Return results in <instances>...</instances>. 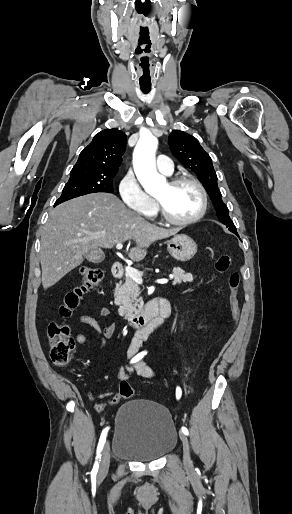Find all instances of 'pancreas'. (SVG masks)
<instances>
[{
  "mask_svg": "<svg viewBox=\"0 0 292 514\" xmlns=\"http://www.w3.org/2000/svg\"><path fill=\"white\" fill-rule=\"evenodd\" d=\"M141 276L143 272H140ZM174 282L176 284H182V282H193L192 274H185L181 268H174L173 270ZM115 304L119 306V316H123L125 320L133 318L135 314H138L140 310H137L138 304L142 306V298H140V288L138 282L132 280L130 276H126L125 284L121 286L119 292L115 294Z\"/></svg>",
  "mask_w": 292,
  "mask_h": 514,
  "instance_id": "cf45deb5",
  "label": "pancreas"
}]
</instances>
